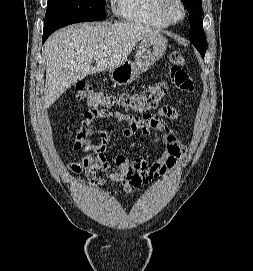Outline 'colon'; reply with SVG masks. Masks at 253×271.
<instances>
[{"label": "colon", "instance_id": "5ec220e1", "mask_svg": "<svg viewBox=\"0 0 253 271\" xmlns=\"http://www.w3.org/2000/svg\"><path fill=\"white\" fill-rule=\"evenodd\" d=\"M169 75L173 83L184 92L192 90V83L183 71L185 59L178 51H172L169 55ZM168 92L166 81H159L143 91L133 93H121L118 95L94 91L85 83L76 86L75 98L78 101H85L94 108L98 114H107L113 107L119 106L125 110H132L145 113L158 107Z\"/></svg>", "mask_w": 253, "mask_h": 271}]
</instances>
